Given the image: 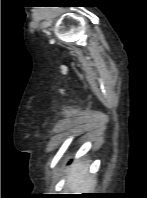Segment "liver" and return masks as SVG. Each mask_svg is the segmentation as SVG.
Wrapping results in <instances>:
<instances>
[{
	"instance_id": "obj_1",
	"label": "liver",
	"mask_w": 147,
	"mask_h": 198,
	"mask_svg": "<svg viewBox=\"0 0 147 198\" xmlns=\"http://www.w3.org/2000/svg\"><path fill=\"white\" fill-rule=\"evenodd\" d=\"M88 168L87 161H79L67 170L66 187L70 192L89 193L94 190L96 181L88 175Z\"/></svg>"
}]
</instances>
